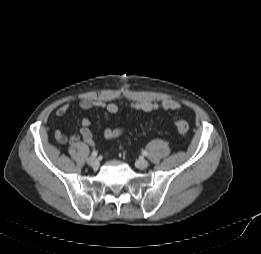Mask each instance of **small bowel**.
<instances>
[{"label": "small bowel", "instance_id": "obj_1", "mask_svg": "<svg viewBox=\"0 0 261 254\" xmlns=\"http://www.w3.org/2000/svg\"><path fill=\"white\" fill-rule=\"evenodd\" d=\"M80 109L88 110L91 108H100L103 110L106 119L111 115H114L118 112V106L113 102H106L101 99H82L78 104ZM70 104L63 103L55 111V114L58 117H63L69 111ZM131 108L135 111L142 112H152L157 110H180L182 109V104L173 99H163L159 101L151 100H142L137 101L131 104ZM91 120L88 117H83L81 120V127L78 131V134L71 135L69 137L65 136L61 131L56 132V137L68 143H76L80 138L84 143L89 146H95V141L93 139L92 132L90 130ZM125 133L124 128H111L107 127L103 131V136L107 141L115 140L121 137Z\"/></svg>", "mask_w": 261, "mask_h": 254}]
</instances>
